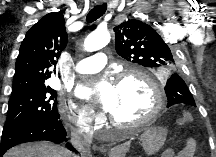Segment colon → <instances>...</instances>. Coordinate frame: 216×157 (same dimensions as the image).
<instances>
[{"label":"colon","mask_w":216,"mask_h":157,"mask_svg":"<svg viewBox=\"0 0 216 157\" xmlns=\"http://www.w3.org/2000/svg\"><path fill=\"white\" fill-rule=\"evenodd\" d=\"M192 121V115L188 111L182 112V114L179 116L177 123L181 126L187 125Z\"/></svg>","instance_id":"obj_1"}]
</instances>
